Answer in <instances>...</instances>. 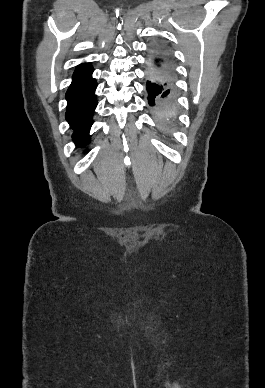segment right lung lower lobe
Returning <instances> with one entry per match:
<instances>
[{"label": "right lung lower lobe", "instance_id": "1", "mask_svg": "<svg viewBox=\"0 0 265 388\" xmlns=\"http://www.w3.org/2000/svg\"><path fill=\"white\" fill-rule=\"evenodd\" d=\"M97 82L91 75L73 79L67 93L66 120L74 130L72 136L78 146L89 142V130L93 124L92 115L97 106V99L94 95Z\"/></svg>", "mask_w": 265, "mask_h": 388}]
</instances>
